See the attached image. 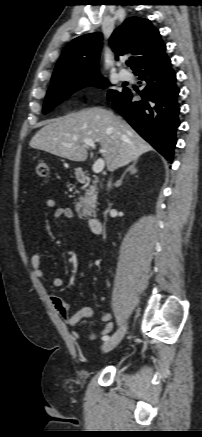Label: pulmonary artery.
I'll return each mask as SVG.
<instances>
[{"label": "pulmonary artery", "instance_id": "1", "mask_svg": "<svg viewBox=\"0 0 202 437\" xmlns=\"http://www.w3.org/2000/svg\"><path fill=\"white\" fill-rule=\"evenodd\" d=\"M118 77L122 81H126L130 78V74L126 70H121L118 74Z\"/></svg>", "mask_w": 202, "mask_h": 437}]
</instances>
